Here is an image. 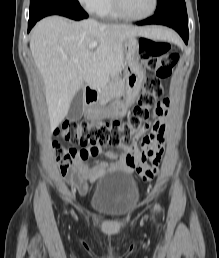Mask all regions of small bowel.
Instances as JSON below:
<instances>
[{
    "mask_svg": "<svg viewBox=\"0 0 219 258\" xmlns=\"http://www.w3.org/2000/svg\"><path fill=\"white\" fill-rule=\"evenodd\" d=\"M169 106V99L157 104L154 111L155 120L148 126L147 130H150V133L143 137L140 149L137 146L139 134L131 144L122 145L118 150L97 148L96 155H104L108 160L87 163L86 159L92 156L90 154L92 149L82 150L68 168L70 170V176L67 179L69 186L80 195H84L90 184L107 173L115 171L140 172L145 178V183H154L157 174L153 173V170L160 166Z\"/></svg>",
    "mask_w": 219,
    "mask_h": 258,
    "instance_id": "c3829d8e",
    "label": "small bowel"
}]
</instances>
